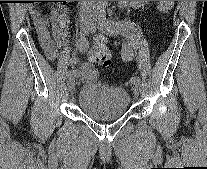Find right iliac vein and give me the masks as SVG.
Instances as JSON below:
<instances>
[{
    "label": "right iliac vein",
    "mask_w": 207,
    "mask_h": 169,
    "mask_svg": "<svg viewBox=\"0 0 207 169\" xmlns=\"http://www.w3.org/2000/svg\"><path fill=\"white\" fill-rule=\"evenodd\" d=\"M92 26V19L84 17L81 20V27L84 31H89ZM68 91L72 94L75 90V80L70 79L67 83Z\"/></svg>",
    "instance_id": "63e3f726"
}]
</instances>
